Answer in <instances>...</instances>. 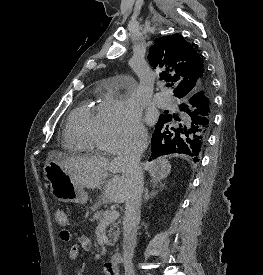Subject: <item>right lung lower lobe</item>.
<instances>
[{
	"label": "right lung lower lobe",
	"mask_w": 263,
	"mask_h": 275,
	"mask_svg": "<svg viewBox=\"0 0 263 275\" xmlns=\"http://www.w3.org/2000/svg\"><path fill=\"white\" fill-rule=\"evenodd\" d=\"M211 94V84L207 79L199 90L178 97L184 102L180 105V109L185 112L182 120L171 114L160 116L151 140L154 158L164 154L184 153L198 160L212 125H209L207 110Z\"/></svg>",
	"instance_id": "right-lung-lower-lobe-1"
}]
</instances>
